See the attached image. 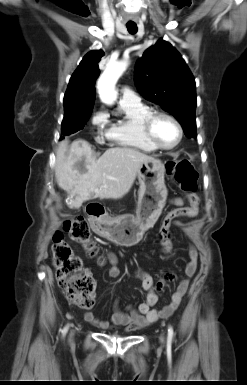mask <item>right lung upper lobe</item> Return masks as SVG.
I'll use <instances>...</instances> for the list:
<instances>
[{
	"label": "right lung upper lobe",
	"mask_w": 247,
	"mask_h": 385,
	"mask_svg": "<svg viewBox=\"0 0 247 385\" xmlns=\"http://www.w3.org/2000/svg\"><path fill=\"white\" fill-rule=\"evenodd\" d=\"M104 52L87 53L73 73L64 96V106L77 105L93 107L95 101V81L100 74L98 62Z\"/></svg>",
	"instance_id": "right-lung-upper-lobe-1"
}]
</instances>
